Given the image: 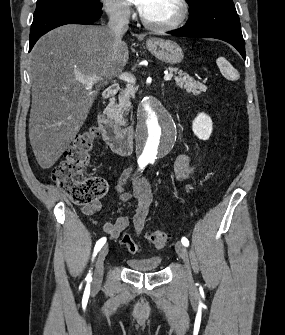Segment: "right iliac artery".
<instances>
[{"label": "right iliac artery", "instance_id": "obj_1", "mask_svg": "<svg viewBox=\"0 0 285 335\" xmlns=\"http://www.w3.org/2000/svg\"><path fill=\"white\" fill-rule=\"evenodd\" d=\"M148 164V162H140L139 163V167H140V170L141 169H144V167ZM106 242V238L103 237L101 239H99L95 245V248H94V253H93V257L96 256L97 252L102 248V246L105 244ZM86 280L87 281H91L92 280V277H91V273H89L86 277Z\"/></svg>", "mask_w": 285, "mask_h": 335}]
</instances>
